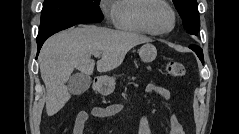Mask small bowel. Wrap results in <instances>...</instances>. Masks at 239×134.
<instances>
[{
	"instance_id": "1",
	"label": "small bowel",
	"mask_w": 239,
	"mask_h": 134,
	"mask_svg": "<svg viewBox=\"0 0 239 134\" xmlns=\"http://www.w3.org/2000/svg\"><path fill=\"white\" fill-rule=\"evenodd\" d=\"M146 92L164 100H168L170 98V91L163 86L154 84L148 85ZM122 111H125L129 117H132L130 110L124 109V107L120 104H110L106 106L94 107L88 111H80L77 113L74 121L73 134H83L85 124L91 116L106 119L111 118ZM135 126L138 134H150L148 124L142 116H138L135 119ZM168 134H184L183 126L175 114H172L169 119Z\"/></svg>"
}]
</instances>
